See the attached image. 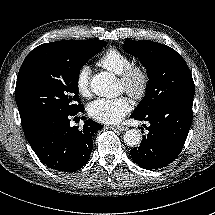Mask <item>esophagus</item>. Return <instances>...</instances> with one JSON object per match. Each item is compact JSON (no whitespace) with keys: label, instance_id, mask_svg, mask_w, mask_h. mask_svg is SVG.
I'll use <instances>...</instances> for the list:
<instances>
[{"label":"esophagus","instance_id":"obj_1","mask_svg":"<svg viewBox=\"0 0 215 215\" xmlns=\"http://www.w3.org/2000/svg\"><path fill=\"white\" fill-rule=\"evenodd\" d=\"M116 129L118 131H125L127 129V127H125V126H117Z\"/></svg>","mask_w":215,"mask_h":215}]
</instances>
